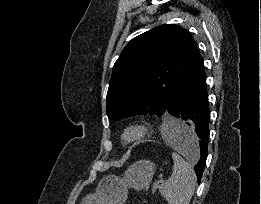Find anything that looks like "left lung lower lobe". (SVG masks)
Segmentation results:
<instances>
[{"label": "left lung lower lobe", "mask_w": 261, "mask_h": 204, "mask_svg": "<svg viewBox=\"0 0 261 204\" xmlns=\"http://www.w3.org/2000/svg\"><path fill=\"white\" fill-rule=\"evenodd\" d=\"M165 113L187 124L186 127L178 130L177 141L197 159L195 172L200 183L208 155L210 109L203 59L197 49L176 86ZM195 143L198 145L197 156Z\"/></svg>", "instance_id": "obj_1"}]
</instances>
